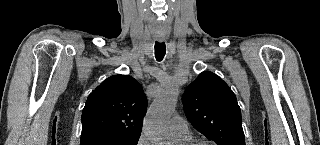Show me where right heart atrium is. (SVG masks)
<instances>
[{
	"mask_svg": "<svg viewBox=\"0 0 320 145\" xmlns=\"http://www.w3.org/2000/svg\"><path fill=\"white\" fill-rule=\"evenodd\" d=\"M137 145H151L149 140L144 134H141L137 140Z\"/></svg>",
	"mask_w": 320,
	"mask_h": 145,
	"instance_id": "right-heart-atrium-1",
	"label": "right heart atrium"
}]
</instances>
